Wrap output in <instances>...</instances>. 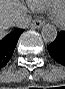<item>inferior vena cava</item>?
Returning a JSON list of instances; mask_svg holds the SVG:
<instances>
[{
  "instance_id": "1",
  "label": "inferior vena cava",
  "mask_w": 65,
  "mask_h": 89,
  "mask_svg": "<svg viewBox=\"0 0 65 89\" xmlns=\"http://www.w3.org/2000/svg\"><path fill=\"white\" fill-rule=\"evenodd\" d=\"M32 18L29 15L22 14L15 19V26L18 28H26L30 24Z\"/></svg>"
}]
</instances>
